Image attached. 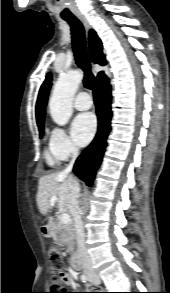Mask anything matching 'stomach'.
<instances>
[{
    "instance_id": "1",
    "label": "stomach",
    "mask_w": 170,
    "mask_h": 293,
    "mask_svg": "<svg viewBox=\"0 0 170 293\" xmlns=\"http://www.w3.org/2000/svg\"><path fill=\"white\" fill-rule=\"evenodd\" d=\"M46 236H48V237L52 236V231H51V229H49V230L46 231Z\"/></svg>"
}]
</instances>
